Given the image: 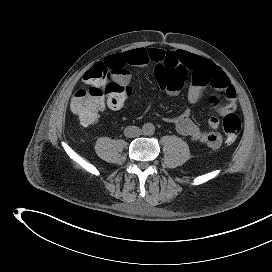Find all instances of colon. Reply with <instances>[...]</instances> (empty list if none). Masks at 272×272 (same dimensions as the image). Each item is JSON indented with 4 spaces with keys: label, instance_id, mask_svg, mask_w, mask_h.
Segmentation results:
<instances>
[{
    "label": "colon",
    "instance_id": "5ec220e1",
    "mask_svg": "<svg viewBox=\"0 0 272 272\" xmlns=\"http://www.w3.org/2000/svg\"><path fill=\"white\" fill-rule=\"evenodd\" d=\"M123 67H107L95 64L84 75L87 87L77 90L71 99V110L84 125H93L107 104L112 109L121 108L131 95V87L123 78ZM226 142L232 144L237 139L242 123L235 114L226 115L222 122Z\"/></svg>",
    "mask_w": 272,
    "mask_h": 272
}]
</instances>
